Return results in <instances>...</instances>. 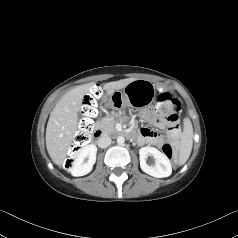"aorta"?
Listing matches in <instances>:
<instances>
[{"label": "aorta", "instance_id": "aorta-1", "mask_svg": "<svg viewBox=\"0 0 238 238\" xmlns=\"http://www.w3.org/2000/svg\"><path fill=\"white\" fill-rule=\"evenodd\" d=\"M124 142H125V139H124V137H122V136H119V137L117 138V143H118L119 145H122V144H124Z\"/></svg>", "mask_w": 238, "mask_h": 238}]
</instances>
